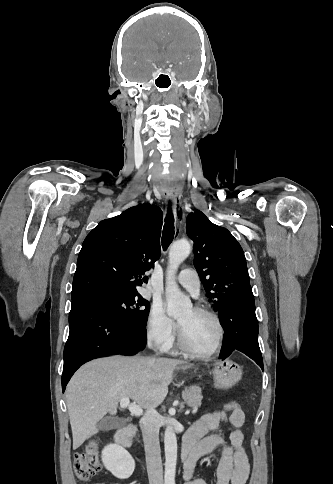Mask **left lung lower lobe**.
Masks as SVG:
<instances>
[{
  "label": "left lung lower lobe",
  "instance_id": "1",
  "mask_svg": "<svg viewBox=\"0 0 333 484\" xmlns=\"http://www.w3.org/2000/svg\"><path fill=\"white\" fill-rule=\"evenodd\" d=\"M237 301L227 297L219 309V318L223 326L224 347L219 359L224 360L234 350L241 351L253 359L262 369L263 360L258 344V321L255 314V302L250 285L235 291Z\"/></svg>",
  "mask_w": 333,
  "mask_h": 484
}]
</instances>
